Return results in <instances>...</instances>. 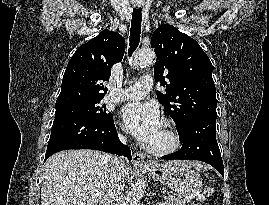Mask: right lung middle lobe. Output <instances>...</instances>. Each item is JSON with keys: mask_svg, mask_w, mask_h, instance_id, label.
<instances>
[{"mask_svg": "<svg viewBox=\"0 0 269 205\" xmlns=\"http://www.w3.org/2000/svg\"><path fill=\"white\" fill-rule=\"evenodd\" d=\"M101 100L69 104L56 107L55 118L68 116H81L96 119L98 121H108L112 119L110 113L106 112L105 106H99Z\"/></svg>", "mask_w": 269, "mask_h": 205, "instance_id": "1", "label": "right lung middle lobe"}]
</instances>
